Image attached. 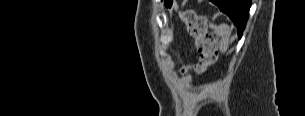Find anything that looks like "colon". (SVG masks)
I'll use <instances>...</instances> for the list:
<instances>
[{"instance_id": "colon-1", "label": "colon", "mask_w": 305, "mask_h": 116, "mask_svg": "<svg viewBox=\"0 0 305 116\" xmlns=\"http://www.w3.org/2000/svg\"><path fill=\"white\" fill-rule=\"evenodd\" d=\"M170 8L177 11L189 35L195 41L198 58L193 70L199 74L204 73L216 60L218 34L208 30L207 20L203 15L190 9L180 10L173 3L170 4ZM185 71H187L186 68L182 70V72Z\"/></svg>"}]
</instances>
